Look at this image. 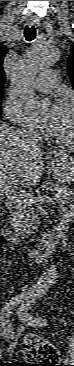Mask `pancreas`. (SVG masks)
<instances>
[{
    "instance_id": "obj_1",
    "label": "pancreas",
    "mask_w": 74,
    "mask_h": 366,
    "mask_svg": "<svg viewBox=\"0 0 74 366\" xmlns=\"http://www.w3.org/2000/svg\"><path fill=\"white\" fill-rule=\"evenodd\" d=\"M44 189L54 191V195L61 199L62 203L70 204L74 199V192L67 186H60L52 183H45L43 185ZM34 199V195L30 194L26 196L25 199H21L20 201H15L16 205L21 209L22 214H27L29 210H26L28 206H31L32 201ZM21 220V219H20ZM20 222V221H18ZM27 233H32V230L35 229V226L31 222H24L22 226ZM22 229H15L16 235L21 234Z\"/></svg>"
}]
</instances>
